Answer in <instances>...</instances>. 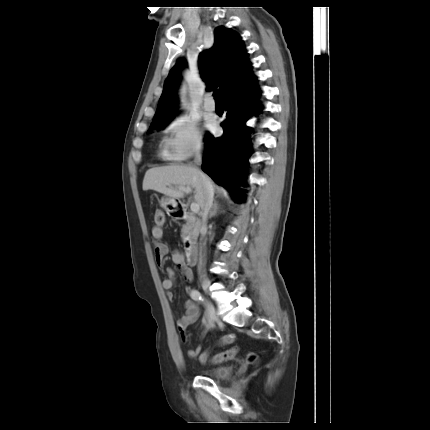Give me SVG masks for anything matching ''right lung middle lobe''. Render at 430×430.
<instances>
[{"label":"right lung middle lobe","instance_id":"dd1d6c3e","mask_svg":"<svg viewBox=\"0 0 430 430\" xmlns=\"http://www.w3.org/2000/svg\"><path fill=\"white\" fill-rule=\"evenodd\" d=\"M170 122V119L166 120V121H162L156 124H153L150 126V129H155V128H164L168 123Z\"/></svg>","mask_w":430,"mask_h":430}]
</instances>
